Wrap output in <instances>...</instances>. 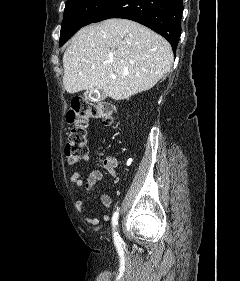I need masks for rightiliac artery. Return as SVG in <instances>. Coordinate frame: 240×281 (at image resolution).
Listing matches in <instances>:
<instances>
[{
    "label": "right iliac artery",
    "mask_w": 240,
    "mask_h": 281,
    "mask_svg": "<svg viewBox=\"0 0 240 281\" xmlns=\"http://www.w3.org/2000/svg\"><path fill=\"white\" fill-rule=\"evenodd\" d=\"M118 217H119V211L117 210L116 212H114L113 216H112V225H113V237H114V243L118 249V251H121L122 247H121V238L118 234V232L115 231V227L118 223Z\"/></svg>",
    "instance_id": "1"
}]
</instances>
